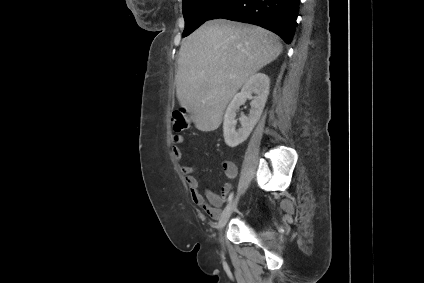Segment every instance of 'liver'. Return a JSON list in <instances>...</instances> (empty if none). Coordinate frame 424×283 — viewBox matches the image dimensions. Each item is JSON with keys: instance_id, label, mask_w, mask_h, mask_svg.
I'll use <instances>...</instances> for the list:
<instances>
[{"instance_id": "obj_1", "label": "liver", "mask_w": 424, "mask_h": 283, "mask_svg": "<svg viewBox=\"0 0 424 283\" xmlns=\"http://www.w3.org/2000/svg\"><path fill=\"white\" fill-rule=\"evenodd\" d=\"M282 50L271 31L225 19L207 21L189 35L180 47L175 84L179 103L193 115L195 127L216 130L237 91Z\"/></svg>"}]
</instances>
